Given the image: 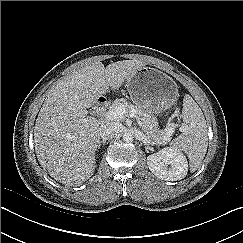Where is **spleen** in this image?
Masks as SVG:
<instances>
[{
    "mask_svg": "<svg viewBox=\"0 0 243 243\" xmlns=\"http://www.w3.org/2000/svg\"><path fill=\"white\" fill-rule=\"evenodd\" d=\"M183 133L178 136L172 147L184 151L190 161L192 172L200 168L208 146V130L204 115L190 95L183 99Z\"/></svg>",
    "mask_w": 243,
    "mask_h": 243,
    "instance_id": "spleen-1",
    "label": "spleen"
}]
</instances>
